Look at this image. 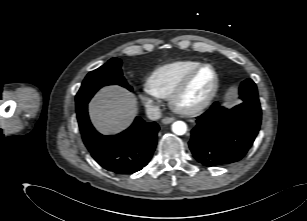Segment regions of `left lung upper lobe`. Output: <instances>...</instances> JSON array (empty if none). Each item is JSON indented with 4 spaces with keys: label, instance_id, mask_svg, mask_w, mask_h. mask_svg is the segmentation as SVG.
<instances>
[{
    "label": "left lung upper lobe",
    "instance_id": "left-lung-upper-lobe-1",
    "mask_svg": "<svg viewBox=\"0 0 307 221\" xmlns=\"http://www.w3.org/2000/svg\"><path fill=\"white\" fill-rule=\"evenodd\" d=\"M240 92H257L255 83L251 79H247L241 83Z\"/></svg>",
    "mask_w": 307,
    "mask_h": 221
}]
</instances>
